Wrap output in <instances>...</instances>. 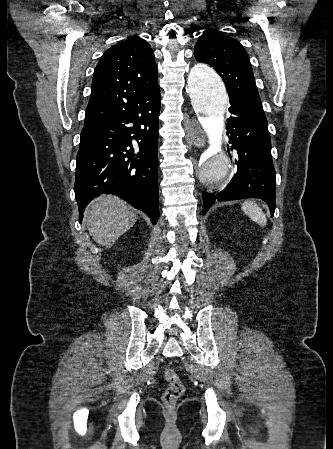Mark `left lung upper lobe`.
<instances>
[{"instance_id":"left-lung-upper-lobe-1","label":"left lung upper lobe","mask_w":333,"mask_h":449,"mask_svg":"<svg viewBox=\"0 0 333 449\" xmlns=\"http://www.w3.org/2000/svg\"><path fill=\"white\" fill-rule=\"evenodd\" d=\"M194 56L216 70L226 85L229 98H237L264 112L249 56L239 41L208 29L199 36Z\"/></svg>"}]
</instances>
